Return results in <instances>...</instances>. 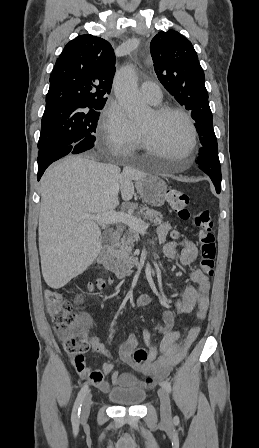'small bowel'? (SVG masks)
<instances>
[{"mask_svg":"<svg viewBox=\"0 0 259 448\" xmlns=\"http://www.w3.org/2000/svg\"><path fill=\"white\" fill-rule=\"evenodd\" d=\"M172 227L169 223H162L157 228L159 242L163 245V254L167 258H174L177 250L180 249V262L182 265H190L198 255L196 245L190 240H168L172 237ZM192 283L184 287L181 299L176 302V308L180 313L188 314L197 308L196 316L198 321L205 319L208 308L210 283L207 275L201 269H194L190 272ZM153 302V297L149 294H143L138 298V305L145 306ZM175 316L170 310L163 313V322L156 326V331L163 335L159 346V352L156 347L150 343V333L145 330L143 339L147 346L148 359L144 363L137 364L132 360L131 353L137 346V338L130 334L119 350L120 359L132 369L142 373L145 379L141 380L130 372L113 371L115 361L112 353L104 346L97 337H90L89 341L92 348L106 357L109 361L104 363L101 369H92L86 364L83 355L72 357L71 364L78 375L87 379L92 385L103 392H108L111 385L118 387L142 386L151 388L156 379L164 378L169 375L171 369L180 363L192 344L197 339L200 327H192L187 334L182 337L181 333L174 329ZM111 373V381L106 376Z\"/></svg>","mask_w":259,"mask_h":448,"instance_id":"1","label":"small bowel"}]
</instances>
